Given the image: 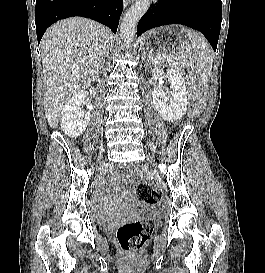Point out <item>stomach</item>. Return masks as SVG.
<instances>
[{"label":"stomach","mask_w":265,"mask_h":273,"mask_svg":"<svg viewBox=\"0 0 265 273\" xmlns=\"http://www.w3.org/2000/svg\"><path fill=\"white\" fill-rule=\"evenodd\" d=\"M185 25H158V30H149L144 40H139V49H150L146 56H178L180 35H185Z\"/></svg>","instance_id":"stomach-1"}]
</instances>
